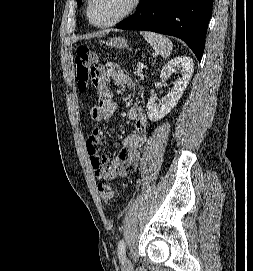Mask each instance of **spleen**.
Segmentation results:
<instances>
[{"label":"spleen","instance_id":"1","mask_svg":"<svg viewBox=\"0 0 253 271\" xmlns=\"http://www.w3.org/2000/svg\"><path fill=\"white\" fill-rule=\"evenodd\" d=\"M140 34L147 40L156 53L160 54L163 58L170 56L173 44L168 38L150 31H141Z\"/></svg>","mask_w":253,"mask_h":271}]
</instances>
